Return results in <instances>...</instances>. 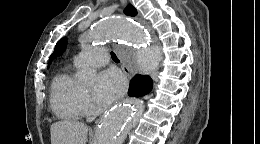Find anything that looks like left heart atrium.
Here are the masks:
<instances>
[{"instance_id":"39dd6f15","label":"left heart atrium","mask_w":260,"mask_h":144,"mask_svg":"<svg viewBox=\"0 0 260 144\" xmlns=\"http://www.w3.org/2000/svg\"><path fill=\"white\" fill-rule=\"evenodd\" d=\"M126 89V79L117 69L100 73L94 92V99L100 105H107L118 99Z\"/></svg>"}]
</instances>
